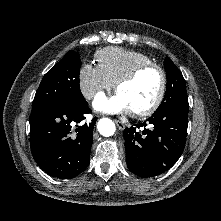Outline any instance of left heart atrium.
Returning <instances> with one entry per match:
<instances>
[{
    "label": "left heart atrium",
    "instance_id": "left-heart-atrium-1",
    "mask_svg": "<svg viewBox=\"0 0 221 221\" xmlns=\"http://www.w3.org/2000/svg\"><path fill=\"white\" fill-rule=\"evenodd\" d=\"M94 107L106 113H123L130 111L129 105L119 93L111 97L99 95L94 101Z\"/></svg>",
    "mask_w": 221,
    "mask_h": 221
}]
</instances>
